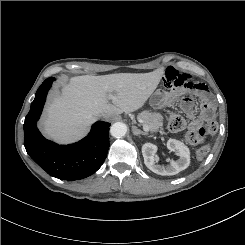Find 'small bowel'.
<instances>
[{
	"label": "small bowel",
	"mask_w": 245,
	"mask_h": 245,
	"mask_svg": "<svg viewBox=\"0 0 245 245\" xmlns=\"http://www.w3.org/2000/svg\"><path fill=\"white\" fill-rule=\"evenodd\" d=\"M166 81L170 86H183L192 90L195 94L201 95L206 94L207 89L204 85L200 83H196L190 76L187 74L180 73L175 68H169L166 72ZM190 99H186L184 104V108L186 112H192V105L189 101ZM213 108L210 105L205 104L202 111L201 118H194L190 122V129L196 130L202 124L203 120L212 116Z\"/></svg>",
	"instance_id": "c3829d8e"
}]
</instances>
